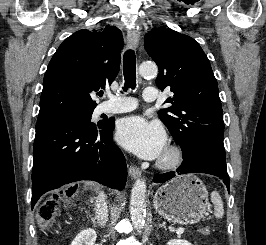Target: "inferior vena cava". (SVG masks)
<instances>
[{
    "mask_svg": "<svg viewBox=\"0 0 266 245\" xmlns=\"http://www.w3.org/2000/svg\"><path fill=\"white\" fill-rule=\"evenodd\" d=\"M95 201L96 217L101 227H104V223H106L108 219V207L105 203L104 193H99L98 197H95Z\"/></svg>",
    "mask_w": 266,
    "mask_h": 245,
    "instance_id": "obj_1",
    "label": "inferior vena cava"
}]
</instances>
